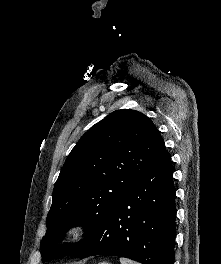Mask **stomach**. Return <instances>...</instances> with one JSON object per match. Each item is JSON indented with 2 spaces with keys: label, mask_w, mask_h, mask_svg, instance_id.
<instances>
[{
  "label": "stomach",
  "mask_w": 221,
  "mask_h": 264,
  "mask_svg": "<svg viewBox=\"0 0 221 264\" xmlns=\"http://www.w3.org/2000/svg\"><path fill=\"white\" fill-rule=\"evenodd\" d=\"M99 264H110V263H108V262H101V263H99Z\"/></svg>",
  "instance_id": "obj_1"
}]
</instances>
